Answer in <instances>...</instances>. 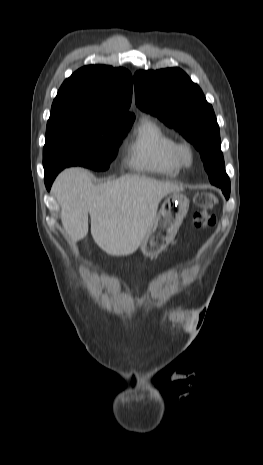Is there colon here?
I'll list each match as a JSON object with an SVG mask.
<instances>
[{
	"mask_svg": "<svg viewBox=\"0 0 263 465\" xmlns=\"http://www.w3.org/2000/svg\"><path fill=\"white\" fill-rule=\"evenodd\" d=\"M199 210L193 216L194 226L198 229L210 228L215 224V216L210 212L217 199L212 193H199L195 196Z\"/></svg>",
	"mask_w": 263,
	"mask_h": 465,
	"instance_id": "obj_1",
	"label": "colon"
}]
</instances>
